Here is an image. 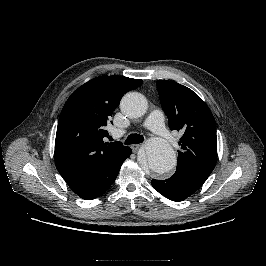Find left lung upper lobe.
Returning a JSON list of instances; mask_svg holds the SVG:
<instances>
[{"label":"left lung upper lobe","instance_id":"1","mask_svg":"<svg viewBox=\"0 0 266 266\" xmlns=\"http://www.w3.org/2000/svg\"><path fill=\"white\" fill-rule=\"evenodd\" d=\"M157 89L170 129L183 132L176 171L205 182L217 161L216 123L210 109L178 83L158 80Z\"/></svg>","mask_w":266,"mask_h":266}]
</instances>
